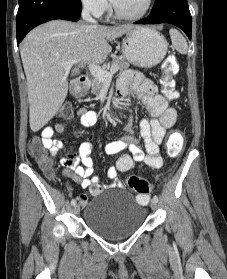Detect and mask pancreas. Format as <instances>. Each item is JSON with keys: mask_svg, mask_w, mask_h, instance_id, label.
I'll list each match as a JSON object with an SVG mask.
<instances>
[{"mask_svg": "<svg viewBox=\"0 0 227 279\" xmlns=\"http://www.w3.org/2000/svg\"><path fill=\"white\" fill-rule=\"evenodd\" d=\"M114 65H116L118 67V70L120 71L127 70L130 66V64L126 62L123 58L113 59L112 66ZM104 86H105V82L97 78L92 79V83H91L92 93L95 94L97 97H99Z\"/></svg>", "mask_w": 227, "mask_h": 279, "instance_id": "1", "label": "pancreas"}]
</instances>
